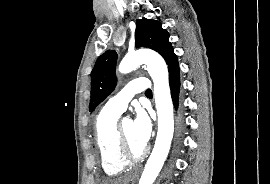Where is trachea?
<instances>
[{
  "label": "trachea",
  "mask_w": 270,
  "mask_h": 184,
  "mask_svg": "<svg viewBox=\"0 0 270 184\" xmlns=\"http://www.w3.org/2000/svg\"><path fill=\"white\" fill-rule=\"evenodd\" d=\"M145 94H152V91L149 89V90L146 91Z\"/></svg>",
  "instance_id": "trachea-1"
}]
</instances>
